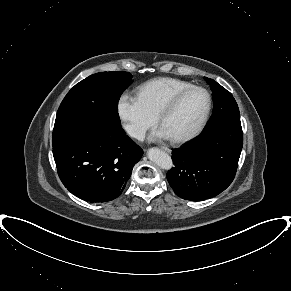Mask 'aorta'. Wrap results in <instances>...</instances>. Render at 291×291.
I'll return each instance as SVG.
<instances>
[{
    "mask_svg": "<svg viewBox=\"0 0 291 291\" xmlns=\"http://www.w3.org/2000/svg\"><path fill=\"white\" fill-rule=\"evenodd\" d=\"M147 156L150 161H152L162 169L169 170L173 166L171 157L166 152L158 148L149 149L147 152Z\"/></svg>",
    "mask_w": 291,
    "mask_h": 291,
    "instance_id": "762f6f07",
    "label": "aorta"
}]
</instances>
